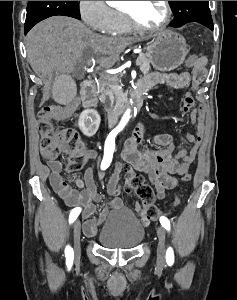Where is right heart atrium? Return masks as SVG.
<instances>
[{
	"label": "right heart atrium",
	"mask_w": 237,
	"mask_h": 300,
	"mask_svg": "<svg viewBox=\"0 0 237 300\" xmlns=\"http://www.w3.org/2000/svg\"><path fill=\"white\" fill-rule=\"evenodd\" d=\"M79 12L91 29L110 34L116 30V12L105 1H79Z\"/></svg>",
	"instance_id": "1"
}]
</instances>
